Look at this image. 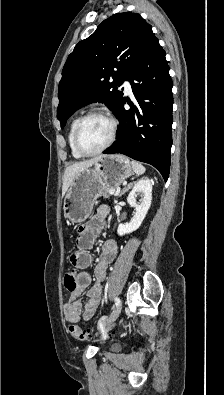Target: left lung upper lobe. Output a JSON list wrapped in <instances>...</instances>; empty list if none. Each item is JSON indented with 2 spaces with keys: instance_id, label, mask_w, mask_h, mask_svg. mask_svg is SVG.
I'll list each match as a JSON object with an SVG mask.
<instances>
[{
  "instance_id": "obj_1",
  "label": "left lung upper lobe",
  "mask_w": 224,
  "mask_h": 395,
  "mask_svg": "<svg viewBox=\"0 0 224 395\" xmlns=\"http://www.w3.org/2000/svg\"><path fill=\"white\" fill-rule=\"evenodd\" d=\"M156 40L140 14L118 13L80 41L68 56L59 83L61 128L77 109L92 102L105 103L115 113L123 99L117 87Z\"/></svg>"
}]
</instances>
